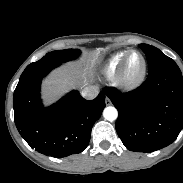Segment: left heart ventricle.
Returning a JSON list of instances; mask_svg holds the SVG:
<instances>
[{
  "instance_id": "b2bd125f",
  "label": "left heart ventricle",
  "mask_w": 183,
  "mask_h": 183,
  "mask_svg": "<svg viewBox=\"0 0 183 183\" xmlns=\"http://www.w3.org/2000/svg\"><path fill=\"white\" fill-rule=\"evenodd\" d=\"M140 66H141L140 57L136 54H133L128 60L127 70H126L127 74L129 76L136 74L140 69Z\"/></svg>"
}]
</instances>
